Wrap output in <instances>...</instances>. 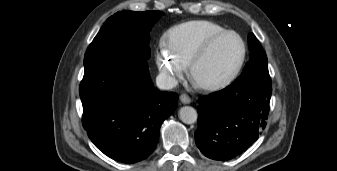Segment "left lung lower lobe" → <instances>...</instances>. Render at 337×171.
<instances>
[{
  "label": "left lung lower lobe",
  "mask_w": 337,
  "mask_h": 171,
  "mask_svg": "<svg viewBox=\"0 0 337 171\" xmlns=\"http://www.w3.org/2000/svg\"><path fill=\"white\" fill-rule=\"evenodd\" d=\"M271 93V83L248 80L201 97L195 132L200 151L219 161L243 153L266 126Z\"/></svg>",
  "instance_id": "0a47b994"
}]
</instances>
